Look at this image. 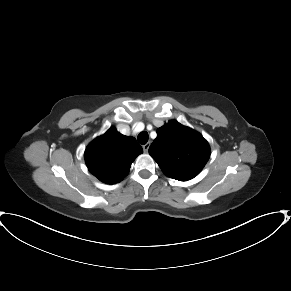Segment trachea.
<instances>
[{
	"label": "trachea",
	"mask_w": 291,
	"mask_h": 291,
	"mask_svg": "<svg viewBox=\"0 0 291 291\" xmlns=\"http://www.w3.org/2000/svg\"><path fill=\"white\" fill-rule=\"evenodd\" d=\"M148 138H149V136H148V133L146 131H142L141 133H139V135L137 137L138 142L142 145L147 143Z\"/></svg>",
	"instance_id": "3493384b"
}]
</instances>
